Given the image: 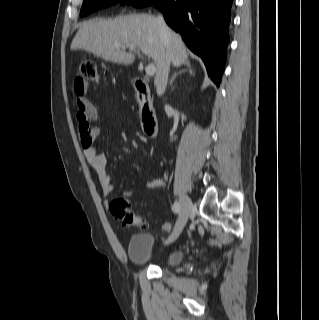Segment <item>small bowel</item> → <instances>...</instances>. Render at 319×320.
Returning <instances> with one entry per match:
<instances>
[{
	"label": "small bowel",
	"instance_id": "c3829d8e",
	"mask_svg": "<svg viewBox=\"0 0 319 320\" xmlns=\"http://www.w3.org/2000/svg\"><path fill=\"white\" fill-rule=\"evenodd\" d=\"M75 93L77 95V119L81 116H85L88 122L93 124L92 131L95 137H98L101 133L100 116L96 107L85 97L86 86L74 84ZM83 144V143H82ZM84 156L89 165L95 171L101 193L107 197L113 192V183L110 176L106 172L107 158L104 154L99 152L96 145L93 143L90 145H84ZM163 186V181L160 178H154L145 184L146 189H157ZM127 196L131 195V191H126Z\"/></svg>",
	"mask_w": 319,
	"mask_h": 320
}]
</instances>
